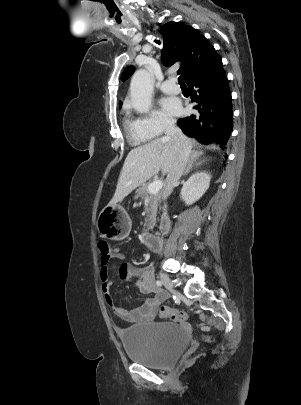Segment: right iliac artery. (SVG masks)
Here are the masks:
<instances>
[{
    "label": "right iliac artery",
    "instance_id": "obj_1",
    "mask_svg": "<svg viewBox=\"0 0 301 405\" xmlns=\"http://www.w3.org/2000/svg\"><path fill=\"white\" fill-rule=\"evenodd\" d=\"M156 285H157V286H162L163 283H162L160 280H157V281H156Z\"/></svg>",
    "mask_w": 301,
    "mask_h": 405
}]
</instances>
